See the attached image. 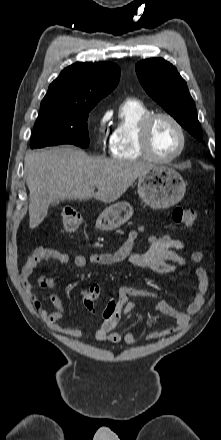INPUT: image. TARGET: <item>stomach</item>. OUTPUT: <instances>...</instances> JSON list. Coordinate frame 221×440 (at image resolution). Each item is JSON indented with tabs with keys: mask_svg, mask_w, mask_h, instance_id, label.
<instances>
[{
	"mask_svg": "<svg viewBox=\"0 0 221 440\" xmlns=\"http://www.w3.org/2000/svg\"><path fill=\"white\" fill-rule=\"evenodd\" d=\"M186 191L182 176L172 168L153 166L137 182L139 197L154 208H168L177 204ZM133 210L126 201L114 203L107 207L97 218L96 227L100 230H114L123 225Z\"/></svg>",
	"mask_w": 221,
	"mask_h": 440,
	"instance_id": "0dacf381",
	"label": "stomach"
}]
</instances>
